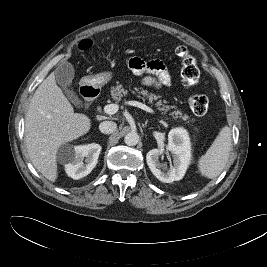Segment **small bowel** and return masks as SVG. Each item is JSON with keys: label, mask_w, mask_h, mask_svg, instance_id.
<instances>
[{"label": "small bowel", "mask_w": 267, "mask_h": 267, "mask_svg": "<svg viewBox=\"0 0 267 267\" xmlns=\"http://www.w3.org/2000/svg\"><path fill=\"white\" fill-rule=\"evenodd\" d=\"M127 65L137 75L148 74L142 80L146 86L161 88L171 85V75L160 60L144 61L138 57H131L127 60Z\"/></svg>", "instance_id": "small-bowel-1"}]
</instances>
